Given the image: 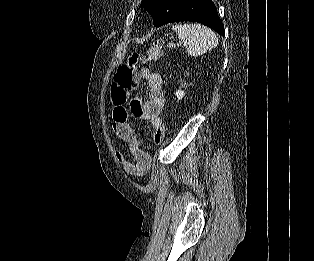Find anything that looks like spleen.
I'll return each mask as SVG.
<instances>
[{"mask_svg": "<svg viewBox=\"0 0 314 261\" xmlns=\"http://www.w3.org/2000/svg\"><path fill=\"white\" fill-rule=\"evenodd\" d=\"M172 29L179 39L186 45L190 56H199L212 50L218 45L216 34L208 27L201 24H178Z\"/></svg>", "mask_w": 314, "mask_h": 261, "instance_id": "obj_1", "label": "spleen"}]
</instances>
